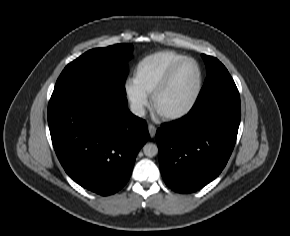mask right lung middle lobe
Listing matches in <instances>:
<instances>
[{
	"label": "right lung middle lobe",
	"instance_id": "obj_1",
	"mask_svg": "<svg viewBox=\"0 0 290 236\" xmlns=\"http://www.w3.org/2000/svg\"><path fill=\"white\" fill-rule=\"evenodd\" d=\"M132 51V44L87 51L64 68L51 98L94 100L125 97L126 63L132 57Z\"/></svg>",
	"mask_w": 290,
	"mask_h": 236
}]
</instances>
